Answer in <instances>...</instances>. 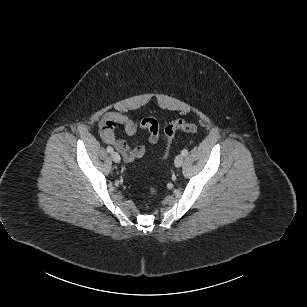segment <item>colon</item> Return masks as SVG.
I'll return each mask as SVG.
<instances>
[{
	"instance_id": "obj_1",
	"label": "colon",
	"mask_w": 307,
	"mask_h": 307,
	"mask_svg": "<svg viewBox=\"0 0 307 307\" xmlns=\"http://www.w3.org/2000/svg\"><path fill=\"white\" fill-rule=\"evenodd\" d=\"M179 130L187 133H196L198 131V127L196 124L186 122L182 119H178L169 123L164 130L165 139H166V153L163 156V158H166L168 156L170 145L174 139L175 133ZM150 193L155 194L156 189L154 187H151Z\"/></svg>"
}]
</instances>
